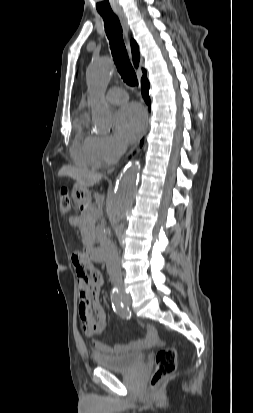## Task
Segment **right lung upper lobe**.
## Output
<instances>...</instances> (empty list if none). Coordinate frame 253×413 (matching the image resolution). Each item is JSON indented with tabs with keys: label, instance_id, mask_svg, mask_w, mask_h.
Returning <instances> with one entry per match:
<instances>
[{
	"label": "right lung upper lobe",
	"instance_id": "obj_1",
	"mask_svg": "<svg viewBox=\"0 0 253 413\" xmlns=\"http://www.w3.org/2000/svg\"><path fill=\"white\" fill-rule=\"evenodd\" d=\"M131 49H132V56H133L134 65L136 67H138L139 60H140L139 48H138L137 43L134 40L131 41ZM145 73H146V71L143 69V74H145Z\"/></svg>",
	"mask_w": 253,
	"mask_h": 413
}]
</instances>
